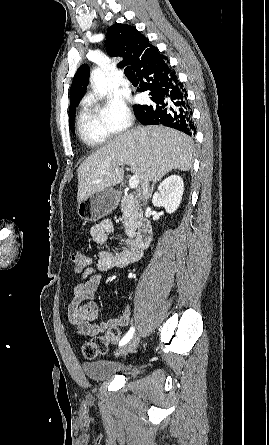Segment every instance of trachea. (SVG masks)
I'll return each mask as SVG.
<instances>
[{"instance_id":"3493384b","label":"trachea","mask_w":269,"mask_h":445,"mask_svg":"<svg viewBox=\"0 0 269 445\" xmlns=\"http://www.w3.org/2000/svg\"><path fill=\"white\" fill-rule=\"evenodd\" d=\"M124 73H125L126 77H128V78L135 76V74H134V72L132 71V69H131L130 66H127V67L125 68Z\"/></svg>"}]
</instances>
